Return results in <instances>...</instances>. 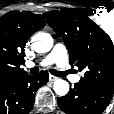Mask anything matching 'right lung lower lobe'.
Here are the masks:
<instances>
[{"mask_svg":"<svg viewBox=\"0 0 114 114\" xmlns=\"http://www.w3.org/2000/svg\"><path fill=\"white\" fill-rule=\"evenodd\" d=\"M49 74L15 76L0 82V114H27L34 105L35 92L46 84Z\"/></svg>","mask_w":114,"mask_h":114,"instance_id":"1","label":"right lung lower lobe"}]
</instances>
